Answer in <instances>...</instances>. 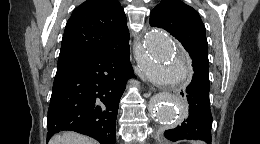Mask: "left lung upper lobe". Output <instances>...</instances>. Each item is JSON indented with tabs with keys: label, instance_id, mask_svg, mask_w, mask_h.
<instances>
[{
	"label": "left lung upper lobe",
	"instance_id": "obj_1",
	"mask_svg": "<svg viewBox=\"0 0 260 144\" xmlns=\"http://www.w3.org/2000/svg\"><path fill=\"white\" fill-rule=\"evenodd\" d=\"M150 25L168 31L181 42L189 56L208 61L205 26L191 6L180 0H162L150 14Z\"/></svg>",
	"mask_w": 260,
	"mask_h": 144
}]
</instances>
